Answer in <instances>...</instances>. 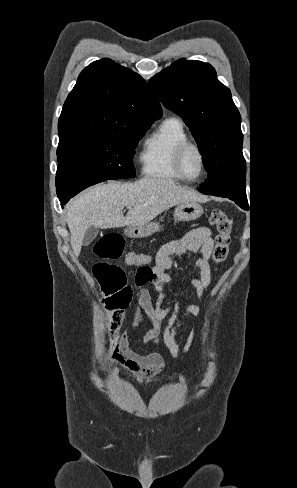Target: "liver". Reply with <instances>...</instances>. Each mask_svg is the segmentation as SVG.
<instances>
[{
  "mask_svg": "<svg viewBox=\"0 0 297 488\" xmlns=\"http://www.w3.org/2000/svg\"><path fill=\"white\" fill-rule=\"evenodd\" d=\"M204 197L166 179L145 177L134 183L110 181L89 188L67 207L71 246L76 256L91 226L101 229L139 226L149 223L163 211L184 202ZM127 207V215L123 208Z\"/></svg>",
  "mask_w": 297,
  "mask_h": 488,
  "instance_id": "obj_1",
  "label": "liver"
}]
</instances>
